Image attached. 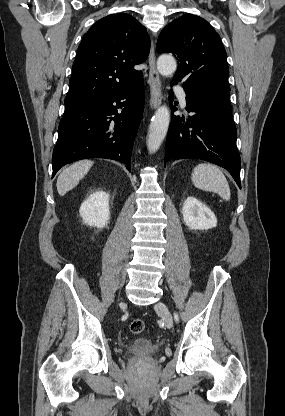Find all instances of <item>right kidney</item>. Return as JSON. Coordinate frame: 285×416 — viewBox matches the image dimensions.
<instances>
[{
    "instance_id": "obj_1",
    "label": "right kidney",
    "mask_w": 285,
    "mask_h": 416,
    "mask_svg": "<svg viewBox=\"0 0 285 416\" xmlns=\"http://www.w3.org/2000/svg\"><path fill=\"white\" fill-rule=\"evenodd\" d=\"M79 214L87 226L104 228L107 226L109 212V194L107 192H93L80 206Z\"/></svg>"
}]
</instances>
